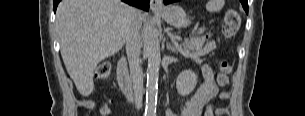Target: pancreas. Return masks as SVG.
<instances>
[{"label": "pancreas", "instance_id": "cf45deb5", "mask_svg": "<svg viewBox=\"0 0 305 116\" xmlns=\"http://www.w3.org/2000/svg\"><path fill=\"white\" fill-rule=\"evenodd\" d=\"M178 39L177 36H174ZM206 38L192 37L190 41H186L183 45H178L177 50L186 58H199L209 53L208 49L203 48Z\"/></svg>", "mask_w": 305, "mask_h": 116}]
</instances>
